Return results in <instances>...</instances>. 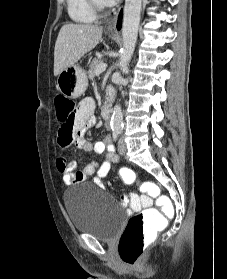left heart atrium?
I'll return each mask as SVG.
<instances>
[{
  "instance_id": "1",
  "label": "left heart atrium",
  "mask_w": 227,
  "mask_h": 279,
  "mask_svg": "<svg viewBox=\"0 0 227 279\" xmlns=\"http://www.w3.org/2000/svg\"><path fill=\"white\" fill-rule=\"evenodd\" d=\"M116 0H101L102 4L105 6H111L115 3Z\"/></svg>"
}]
</instances>
